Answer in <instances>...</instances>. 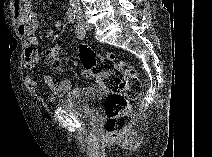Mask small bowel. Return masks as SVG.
I'll return each instance as SVG.
<instances>
[{
	"mask_svg": "<svg viewBox=\"0 0 212 157\" xmlns=\"http://www.w3.org/2000/svg\"><path fill=\"white\" fill-rule=\"evenodd\" d=\"M12 12L18 32L24 38L23 65L26 69L39 68L40 56L37 49L38 39L35 33L39 29L40 21L33 10V2L31 0H15L12 5ZM62 27L63 22L56 20L54 26L45 31L46 37H53L56 31L61 30ZM42 78L49 89L46 94L48 102H54L70 90L71 83L69 80H62L59 84H56L53 77L45 71H42ZM24 82L31 88L38 86L37 82L30 76H25Z\"/></svg>",
	"mask_w": 212,
	"mask_h": 157,
	"instance_id": "c3829d8e",
	"label": "small bowel"
}]
</instances>
